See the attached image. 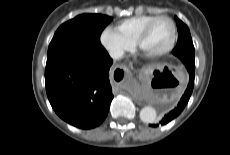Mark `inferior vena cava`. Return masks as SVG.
Listing matches in <instances>:
<instances>
[{"mask_svg":"<svg viewBox=\"0 0 230 155\" xmlns=\"http://www.w3.org/2000/svg\"><path fill=\"white\" fill-rule=\"evenodd\" d=\"M112 59H119L123 56L124 52L121 49H114L109 52Z\"/></svg>","mask_w":230,"mask_h":155,"instance_id":"1","label":"inferior vena cava"}]
</instances>
